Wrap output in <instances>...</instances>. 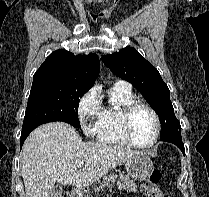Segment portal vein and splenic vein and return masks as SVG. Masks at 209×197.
Segmentation results:
<instances>
[{"instance_id":"1","label":"portal vein and splenic vein","mask_w":209,"mask_h":197,"mask_svg":"<svg viewBox=\"0 0 209 197\" xmlns=\"http://www.w3.org/2000/svg\"><path fill=\"white\" fill-rule=\"evenodd\" d=\"M84 165V161H80L79 163H78V165H77V167H82Z\"/></svg>"}]
</instances>
